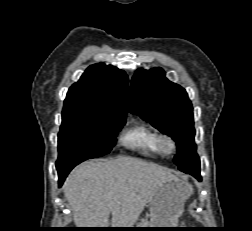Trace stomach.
Instances as JSON below:
<instances>
[{
    "label": "stomach",
    "mask_w": 252,
    "mask_h": 231,
    "mask_svg": "<svg viewBox=\"0 0 252 231\" xmlns=\"http://www.w3.org/2000/svg\"><path fill=\"white\" fill-rule=\"evenodd\" d=\"M192 192V186L177 177L163 182L148 200L150 220L138 228H178L177 219Z\"/></svg>",
    "instance_id": "obj_1"
}]
</instances>
